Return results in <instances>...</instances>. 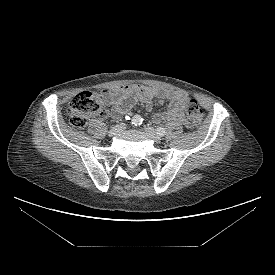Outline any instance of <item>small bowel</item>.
I'll return each instance as SVG.
<instances>
[{
  "label": "small bowel",
  "mask_w": 275,
  "mask_h": 275,
  "mask_svg": "<svg viewBox=\"0 0 275 275\" xmlns=\"http://www.w3.org/2000/svg\"><path fill=\"white\" fill-rule=\"evenodd\" d=\"M103 97L106 104L111 105V112L105 110L102 115H111L118 119L126 114L136 103L144 104L147 111H152L154 99L159 104L169 102L168 109L153 116L155 123L165 121H178L187 126L184 109L189 100L184 91L163 89L142 85H124L114 87L103 91Z\"/></svg>",
  "instance_id": "obj_1"
}]
</instances>
